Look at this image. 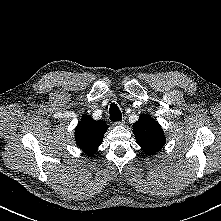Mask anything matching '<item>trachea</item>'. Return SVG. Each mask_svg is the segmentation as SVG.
<instances>
[{"mask_svg": "<svg viewBox=\"0 0 221 221\" xmlns=\"http://www.w3.org/2000/svg\"><path fill=\"white\" fill-rule=\"evenodd\" d=\"M109 112H110V120L111 121H120V120H122V114H121V111L118 108L117 104L112 103L110 105Z\"/></svg>", "mask_w": 221, "mask_h": 221, "instance_id": "3493384b", "label": "trachea"}]
</instances>
